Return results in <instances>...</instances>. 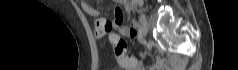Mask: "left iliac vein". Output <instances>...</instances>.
Instances as JSON below:
<instances>
[{
	"label": "left iliac vein",
	"instance_id": "left-iliac-vein-1",
	"mask_svg": "<svg viewBox=\"0 0 238 70\" xmlns=\"http://www.w3.org/2000/svg\"><path fill=\"white\" fill-rule=\"evenodd\" d=\"M149 29V23L145 15L140 16V27H139V33L141 37H144Z\"/></svg>",
	"mask_w": 238,
	"mask_h": 70
}]
</instances>
